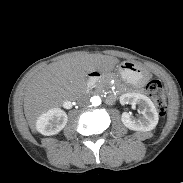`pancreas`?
<instances>
[{
  "label": "pancreas",
  "mask_w": 183,
  "mask_h": 183,
  "mask_svg": "<svg viewBox=\"0 0 183 183\" xmlns=\"http://www.w3.org/2000/svg\"><path fill=\"white\" fill-rule=\"evenodd\" d=\"M103 81V79L101 80V82ZM101 83H99L98 85H100Z\"/></svg>",
  "instance_id": "cf45deb5"
}]
</instances>
